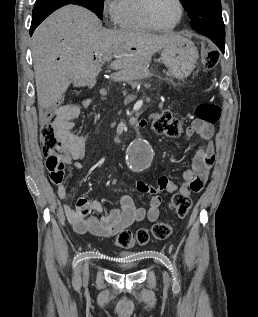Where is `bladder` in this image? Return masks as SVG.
I'll return each instance as SVG.
<instances>
[{
	"instance_id": "31cf9c89",
	"label": "bladder",
	"mask_w": 258,
	"mask_h": 317,
	"mask_svg": "<svg viewBox=\"0 0 258 317\" xmlns=\"http://www.w3.org/2000/svg\"><path fill=\"white\" fill-rule=\"evenodd\" d=\"M116 263L121 268L133 269L139 264V256L134 252L119 253L115 256Z\"/></svg>"
}]
</instances>
